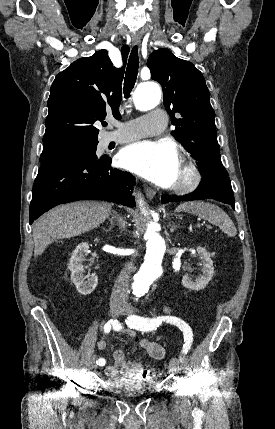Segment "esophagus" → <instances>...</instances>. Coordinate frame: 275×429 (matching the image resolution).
<instances>
[{
	"label": "esophagus",
	"mask_w": 275,
	"mask_h": 429,
	"mask_svg": "<svg viewBox=\"0 0 275 429\" xmlns=\"http://www.w3.org/2000/svg\"><path fill=\"white\" fill-rule=\"evenodd\" d=\"M140 41H141V39H140V37H139V36H133V37H132V44H133L134 46H139ZM146 194H147V196H148L150 199H152V198L155 196L156 192H155V190H153V189H151V188H147V189H146Z\"/></svg>",
	"instance_id": "esophagus-1"
}]
</instances>
